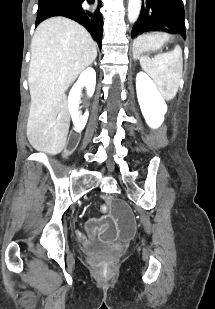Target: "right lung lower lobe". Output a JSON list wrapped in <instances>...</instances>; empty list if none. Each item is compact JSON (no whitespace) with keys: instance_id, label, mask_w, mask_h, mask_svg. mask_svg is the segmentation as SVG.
Returning a JSON list of instances; mask_svg holds the SVG:
<instances>
[{"instance_id":"right-lung-lower-lobe-1","label":"right lung lower lobe","mask_w":215,"mask_h":309,"mask_svg":"<svg viewBox=\"0 0 215 309\" xmlns=\"http://www.w3.org/2000/svg\"><path fill=\"white\" fill-rule=\"evenodd\" d=\"M83 1L84 0H39L35 27L50 17H67L83 25L92 34L101 48L103 34V18L99 11L102 4L101 0H98L95 13L83 11ZM88 1L94 2L95 0Z\"/></svg>"}]
</instances>
